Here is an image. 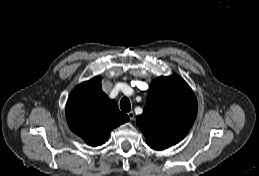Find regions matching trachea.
Instances as JSON below:
<instances>
[{
	"instance_id": "3493384b",
	"label": "trachea",
	"mask_w": 259,
	"mask_h": 176,
	"mask_svg": "<svg viewBox=\"0 0 259 176\" xmlns=\"http://www.w3.org/2000/svg\"><path fill=\"white\" fill-rule=\"evenodd\" d=\"M120 108L124 112H129L131 110V104H130V101L127 97H124V98L121 99Z\"/></svg>"
}]
</instances>
